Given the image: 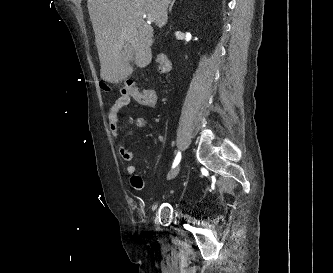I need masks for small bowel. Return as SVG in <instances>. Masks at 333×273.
<instances>
[{"instance_id": "obj_1", "label": "small bowel", "mask_w": 333, "mask_h": 273, "mask_svg": "<svg viewBox=\"0 0 333 273\" xmlns=\"http://www.w3.org/2000/svg\"><path fill=\"white\" fill-rule=\"evenodd\" d=\"M156 90L153 84H146L145 88L142 90H137L131 96H123L121 97L112 105L111 107V115L113 116V122L110 125L111 131L115 138H118V131L116 128V114L127 106L130 102H137L138 104L145 106V107H153L156 104L157 97H156ZM146 119L139 117L133 121V125L137 128H144L147 126ZM120 155L122 159L126 162H131L136 158V153L127 149L124 146L120 147ZM126 172L130 175V183L133 189L140 191L144 188V182L142 177L136 174V167L133 164H129L126 167Z\"/></svg>"}]
</instances>
